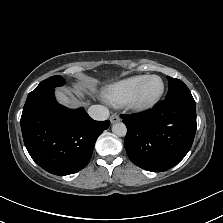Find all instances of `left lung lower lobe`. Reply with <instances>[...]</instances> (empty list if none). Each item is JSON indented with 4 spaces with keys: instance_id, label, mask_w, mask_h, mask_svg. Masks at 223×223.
Wrapping results in <instances>:
<instances>
[{
    "instance_id": "0a47b994",
    "label": "left lung lower lobe",
    "mask_w": 223,
    "mask_h": 223,
    "mask_svg": "<svg viewBox=\"0 0 223 223\" xmlns=\"http://www.w3.org/2000/svg\"><path fill=\"white\" fill-rule=\"evenodd\" d=\"M121 118L127 127L124 145L128 157L145 170L172 168L192 146L196 132L194 99H165L153 109Z\"/></svg>"
}]
</instances>
